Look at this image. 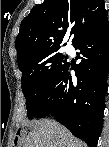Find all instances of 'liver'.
<instances>
[{
    "label": "liver",
    "mask_w": 109,
    "mask_h": 147,
    "mask_svg": "<svg viewBox=\"0 0 109 147\" xmlns=\"http://www.w3.org/2000/svg\"><path fill=\"white\" fill-rule=\"evenodd\" d=\"M30 132L24 138L23 147H84L85 144L75 138L70 131L50 119L33 121Z\"/></svg>",
    "instance_id": "6515ba94"
}]
</instances>
